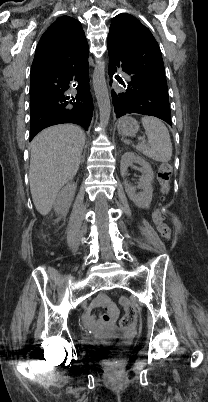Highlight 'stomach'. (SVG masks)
<instances>
[{
	"label": "stomach",
	"mask_w": 208,
	"mask_h": 402,
	"mask_svg": "<svg viewBox=\"0 0 208 402\" xmlns=\"http://www.w3.org/2000/svg\"><path fill=\"white\" fill-rule=\"evenodd\" d=\"M117 128L119 134H122V136H135L139 130V124L134 118L123 116V118L118 120Z\"/></svg>",
	"instance_id": "obj_1"
}]
</instances>
